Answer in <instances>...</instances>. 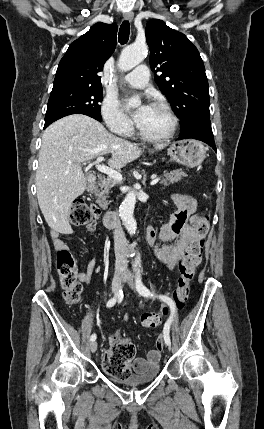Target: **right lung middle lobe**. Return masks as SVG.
Masks as SVG:
<instances>
[{
    "mask_svg": "<svg viewBox=\"0 0 264 429\" xmlns=\"http://www.w3.org/2000/svg\"><path fill=\"white\" fill-rule=\"evenodd\" d=\"M102 100V88L70 86L52 90L45 126L71 114H84L101 121L99 103Z\"/></svg>",
    "mask_w": 264,
    "mask_h": 429,
    "instance_id": "obj_1",
    "label": "right lung middle lobe"
}]
</instances>
